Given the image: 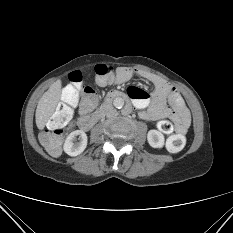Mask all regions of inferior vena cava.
Returning <instances> with one entry per match:
<instances>
[{
	"instance_id": "obj_1",
	"label": "inferior vena cava",
	"mask_w": 233,
	"mask_h": 233,
	"mask_svg": "<svg viewBox=\"0 0 233 233\" xmlns=\"http://www.w3.org/2000/svg\"><path fill=\"white\" fill-rule=\"evenodd\" d=\"M105 114H106V117L113 118V117H116L118 113L113 106L109 105L107 106L105 110Z\"/></svg>"
}]
</instances>
